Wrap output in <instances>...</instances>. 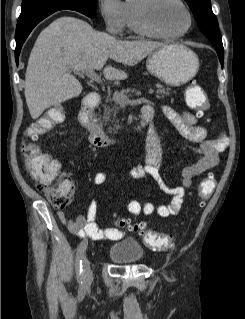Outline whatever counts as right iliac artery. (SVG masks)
Returning <instances> with one entry per match:
<instances>
[{
	"instance_id": "82829eb1",
	"label": "right iliac artery",
	"mask_w": 245,
	"mask_h": 319,
	"mask_svg": "<svg viewBox=\"0 0 245 319\" xmlns=\"http://www.w3.org/2000/svg\"><path fill=\"white\" fill-rule=\"evenodd\" d=\"M86 250V245H84L82 242L77 248V254H76V275H77V281L81 286L84 284V278L82 273V259L84 256Z\"/></svg>"
}]
</instances>
